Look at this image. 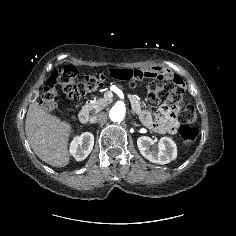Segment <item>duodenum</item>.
<instances>
[{"mask_svg":"<svg viewBox=\"0 0 236 236\" xmlns=\"http://www.w3.org/2000/svg\"><path fill=\"white\" fill-rule=\"evenodd\" d=\"M131 103L133 105H138L139 104L138 101L134 100L133 98L131 99ZM78 118H79V121L82 124H86L89 121V118H90L88 109L83 107L79 112Z\"/></svg>","mask_w":236,"mask_h":236,"instance_id":"duodenum-1","label":"duodenum"}]
</instances>
